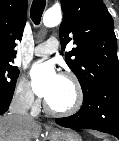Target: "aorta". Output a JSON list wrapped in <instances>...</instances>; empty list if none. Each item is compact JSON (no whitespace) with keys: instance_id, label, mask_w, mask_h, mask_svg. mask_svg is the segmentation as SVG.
I'll list each match as a JSON object with an SVG mask.
<instances>
[{"instance_id":"1","label":"aorta","mask_w":119,"mask_h":141,"mask_svg":"<svg viewBox=\"0 0 119 141\" xmlns=\"http://www.w3.org/2000/svg\"><path fill=\"white\" fill-rule=\"evenodd\" d=\"M61 19H62L61 11L59 9L51 8L48 9L43 16V24L46 27H54L60 24Z\"/></svg>"}]
</instances>
